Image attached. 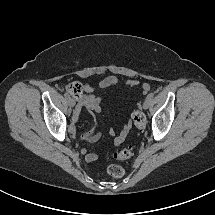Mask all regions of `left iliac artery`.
Segmentation results:
<instances>
[{
  "mask_svg": "<svg viewBox=\"0 0 215 215\" xmlns=\"http://www.w3.org/2000/svg\"><path fill=\"white\" fill-rule=\"evenodd\" d=\"M154 97V93H149L146 97V99L151 100Z\"/></svg>",
  "mask_w": 215,
  "mask_h": 215,
  "instance_id": "obj_1",
  "label": "left iliac artery"
}]
</instances>
